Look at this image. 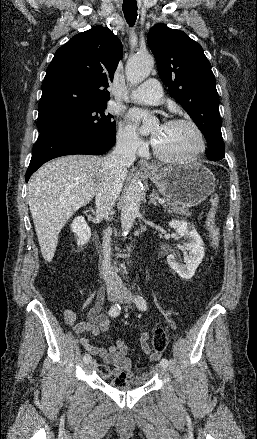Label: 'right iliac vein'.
Masks as SVG:
<instances>
[{
	"instance_id": "obj_1",
	"label": "right iliac vein",
	"mask_w": 257,
	"mask_h": 439,
	"mask_svg": "<svg viewBox=\"0 0 257 439\" xmlns=\"http://www.w3.org/2000/svg\"><path fill=\"white\" fill-rule=\"evenodd\" d=\"M119 296H120V294L118 292H114V291L108 292V299H109V301H116L119 298ZM93 365H94L93 360H90L88 362H85L84 366H85V368L89 369Z\"/></svg>"
}]
</instances>
